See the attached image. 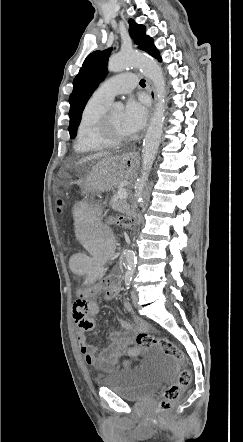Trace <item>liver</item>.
<instances>
[{
	"instance_id": "obj_1",
	"label": "liver",
	"mask_w": 243,
	"mask_h": 442,
	"mask_svg": "<svg viewBox=\"0 0 243 442\" xmlns=\"http://www.w3.org/2000/svg\"><path fill=\"white\" fill-rule=\"evenodd\" d=\"M102 157L108 158L109 157V153H97V154L91 155L89 157L81 159L77 164L78 165L79 164H83L85 162L92 161V160H95V159H99V158H102Z\"/></svg>"
}]
</instances>
